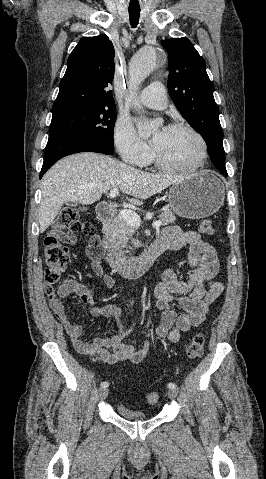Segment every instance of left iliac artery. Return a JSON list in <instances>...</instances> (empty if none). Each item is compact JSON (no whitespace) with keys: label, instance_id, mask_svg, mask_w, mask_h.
I'll return each instance as SVG.
<instances>
[{"label":"left iliac artery","instance_id":"left-iliac-artery-1","mask_svg":"<svg viewBox=\"0 0 266 479\" xmlns=\"http://www.w3.org/2000/svg\"><path fill=\"white\" fill-rule=\"evenodd\" d=\"M167 387H168L169 389H176V388H177V385H176L175 383H168V384H167Z\"/></svg>","mask_w":266,"mask_h":479}]
</instances>
